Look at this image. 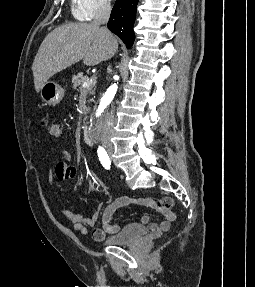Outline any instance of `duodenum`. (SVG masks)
<instances>
[{"label": "duodenum", "mask_w": 255, "mask_h": 287, "mask_svg": "<svg viewBox=\"0 0 255 287\" xmlns=\"http://www.w3.org/2000/svg\"><path fill=\"white\" fill-rule=\"evenodd\" d=\"M82 137L86 144H89V145L92 144L93 140H92L91 131L89 127H84L82 129Z\"/></svg>", "instance_id": "410a0bca"}]
</instances>
